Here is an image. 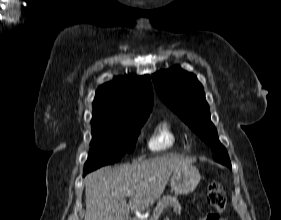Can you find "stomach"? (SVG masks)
Listing matches in <instances>:
<instances>
[{"mask_svg": "<svg viewBox=\"0 0 281 220\" xmlns=\"http://www.w3.org/2000/svg\"><path fill=\"white\" fill-rule=\"evenodd\" d=\"M200 173L194 166L173 172L170 184L176 194H189L195 190L200 182Z\"/></svg>", "mask_w": 281, "mask_h": 220, "instance_id": "stomach-1", "label": "stomach"}]
</instances>
